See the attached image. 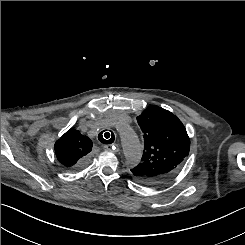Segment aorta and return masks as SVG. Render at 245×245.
I'll return each instance as SVG.
<instances>
[{"label":"aorta","mask_w":245,"mask_h":245,"mask_svg":"<svg viewBox=\"0 0 245 245\" xmlns=\"http://www.w3.org/2000/svg\"><path fill=\"white\" fill-rule=\"evenodd\" d=\"M118 132L126 159L131 163H138L141 158V144L134 129L127 123H121Z\"/></svg>","instance_id":"aorta-1"}]
</instances>
